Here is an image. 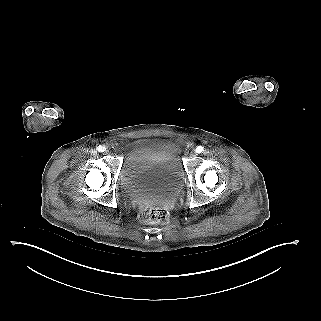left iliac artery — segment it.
I'll return each instance as SVG.
<instances>
[{"mask_svg":"<svg viewBox=\"0 0 321 321\" xmlns=\"http://www.w3.org/2000/svg\"><path fill=\"white\" fill-rule=\"evenodd\" d=\"M203 150H204V148H203L202 146H198V147L196 148V152H197V153H201Z\"/></svg>","mask_w":321,"mask_h":321,"instance_id":"left-iliac-artery-1","label":"left iliac artery"}]
</instances>
